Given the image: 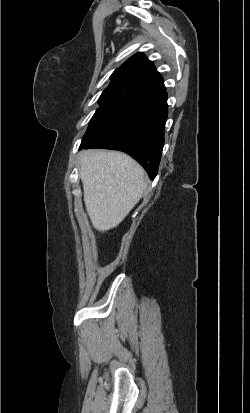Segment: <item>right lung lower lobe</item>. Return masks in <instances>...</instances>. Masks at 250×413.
<instances>
[{
    "label": "right lung lower lobe",
    "mask_w": 250,
    "mask_h": 413,
    "mask_svg": "<svg viewBox=\"0 0 250 413\" xmlns=\"http://www.w3.org/2000/svg\"><path fill=\"white\" fill-rule=\"evenodd\" d=\"M167 93L140 96L130 101L118 119L100 136L80 149L120 150L139 162L154 179L164 145Z\"/></svg>",
    "instance_id": "98d812e1"
}]
</instances>
